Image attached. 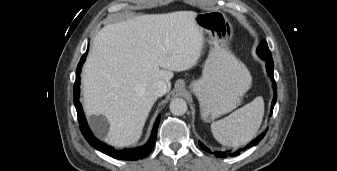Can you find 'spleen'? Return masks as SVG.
<instances>
[{
    "mask_svg": "<svg viewBox=\"0 0 337 171\" xmlns=\"http://www.w3.org/2000/svg\"><path fill=\"white\" fill-rule=\"evenodd\" d=\"M264 115L261 96L237 109L229 116L211 124L214 138L224 146L238 147L248 143L256 135Z\"/></svg>",
    "mask_w": 337,
    "mask_h": 171,
    "instance_id": "3e777b00",
    "label": "spleen"
}]
</instances>
